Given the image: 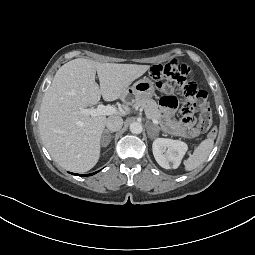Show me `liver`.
Here are the masks:
<instances>
[{
    "label": "liver",
    "mask_w": 255,
    "mask_h": 255,
    "mask_svg": "<svg viewBox=\"0 0 255 255\" xmlns=\"http://www.w3.org/2000/svg\"><path fill=\"white\" fill-rule=\"evenodd\" d=\"M149 65L99 63L78 58L56 72L44 94L39 116L41 139L53 160L66 170L86 172L100 156V139L105 115L90 116L80 110L105 101L124 99L129 85L142 76ZM96 71L100 86L95 81ZM127 107L113 116H125Z\"/></svg>",
    "instance_id": "1"
}]
</instances>
